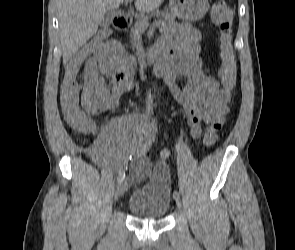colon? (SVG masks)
Instances as JSON below:
<instances>
[{
	"label": "colon",
	"instance_id": "5ec220e1",
	"mask_svg": "<svg viewBox=\"0 0 295 250\" xmlns=\"http://www.w3.org/2000/svg\"><path fill=\"white\" fill-rule=\"evenodd\" d=\"M213 22L219 28L218 46L222 65L220 80L223 87L232 92L236 82V53L233 45V15L223 1L214 2L211 9ZM108 32L101 30L92 38L81 51L95 55L100 53L107 43ZM81 86L75 77H66L61 86L60 103L65 121L75 130L89 132L94 123L91 114L98 113L97 108H87L80 98ZM220 128L217 125L209 126L203 141L212 145L217 140Z\"/></svg>",
	"mask_w": 295,
	"mask_h": 250
}]
</instances>
